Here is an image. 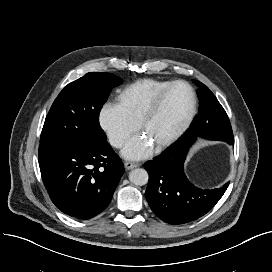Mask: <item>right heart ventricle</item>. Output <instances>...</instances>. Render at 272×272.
Returning a JSON list of instances; mask_svg holds the SVG:
<instances>
[{"label": "right heart ventricle", "instance_id": "right-heart-ventricle-1", "mask_svg": "<svg viewBox=\"0 0 272 272\" xmlns=\"http://www.w3.org/2000/svg\"><path fill=\"white\" fill-rule=\"evenodd\" d=\"M170 83L153 78L136 80L118 94V105L134 123L139 124L146 108Z\"/></svg>", "mask_w": 272, "mask_h": 272}]
</instances>
